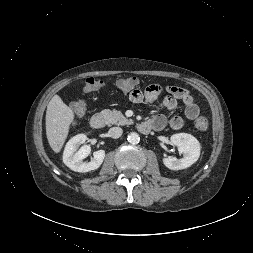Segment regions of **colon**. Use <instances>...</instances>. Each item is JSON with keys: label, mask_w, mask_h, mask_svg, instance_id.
I'll list each match as a JSON object with an SVG mask.
<instances>
[{"label": "colon", "mask_w": 253, "mask_h": 253, "mask_svg": "<svg viewBox=\"0 0 253 253\" xmlns=\"http://www.w3.org/2000/svg\"><path fill=\"white\" fill-rule=\"evenodd\" d=\"M139 81L136 77H126L118 79L115 83L116 87L124 92L135 90ZM104 82L95 77H88L84 83V91L87 93L101 89ZM86 103L82 100L71 103V110L76 117H82L86 112ZM195 126L198 130L204 131L209 126V120L205 115H200L195 119Z\"/></svg>", "instance_id": "5ec220e1"}]
</instances>
